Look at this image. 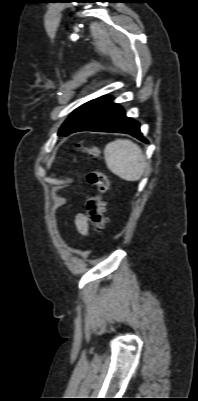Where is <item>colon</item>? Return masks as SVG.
<instances>
[{
	"mask_svg": "<svg viewBox=\"0 0 198 401\" xmlns=\"http://www.w3.org/2000/svg\"><path fill=\"white\" fill-rule=\"evenodd\" d=\"M76 148L83 150L93 159L98 158L100 154L97 147L82 148L80 145H76ZM86 178L94 188V192L87 199L88 219L97 231H103L108 224L105 216L106 203L103 197L109 189V182L106 175L99 170H91Z\"/></svg>",
	"mask_w": 198,
	"mask_h": 401,
	"instance_id": "obj_1",
	"label": "colon"
}]
</instances>
